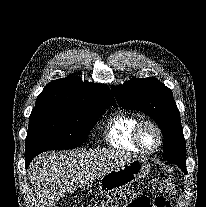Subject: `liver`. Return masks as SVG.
Masks as SVG:
<instances>
[{
  "instance_id": "obj_1",
  "label": "liver",
  "mask_w": 206,
  "mask_h": 207,
  "mask_svg": "<svg viewBox=\"0 0 206 207\" xmlns=\"http://www.w3.org/2000/svg\"><path fill=\"white\" fill-rule=\"evenodd\" d=\"M136 159L119 151H53L39 154L28 174L37 197V207H54L66 194L88 186L109 171Z\"/></svg>"
}]
</instances>
